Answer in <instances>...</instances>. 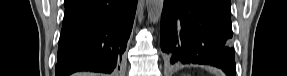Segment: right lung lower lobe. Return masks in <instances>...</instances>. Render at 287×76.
<instances>
[{"mask_svg":"<svg viewBox=\"0 0 287 76\" xmlns=\"http://www.w3.org/2000/svg\"><path fill=\"white\" fill-rule=\"evenodd\" d=\"M137 0H76L65 7L56 76L119 68Z\"/></svg>","mask_w":287,"mask_h":76,"instance_id":"98d812e1","label":"right lung lower lobe"}]
</instances>
